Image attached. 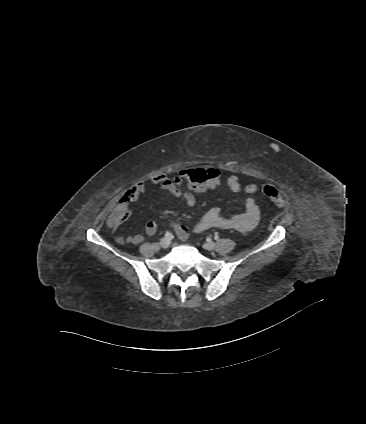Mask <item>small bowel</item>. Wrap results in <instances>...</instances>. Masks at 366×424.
Returning a JSON list of instances; mask_svg holds the SVG:
<instances>
[{
	"label": "small bowel",
	"instance_id": "small-bowel-1",
	"mask_svg": "<svg viewBox=\"0 0 366 424\" xmlns=\"http://www.w3.org/2000/svg\"><path fill=\"white\" fill-rule=\"evenodd\" d=\"M213 170H215L218 174L210 184H208L203 189H193L191 187L190 189L195 192H201L220 184L222 172L218 169ZM183 181L184 180L181 178L173 180L168 176L162 174L155 176L151 180L150 184L151 186H160L163 190H165L168 198L178 199L187 206H193L196 203V197L192 191H182L180 189V186ZM226 184L228 188L234 193H238L242 190V186L237 176H229L226 179ZM246 186L244 187V191L248 194V196L245 199V209L240 214L225 217L221 214V210L219 207H212L204 215H202L190 228L174 221H167V224L175 230L179 239L183 241L188 238L189 230L194 232H202L211 228H219L225 230H234L243 235L252 232L253 230H255L259 223L260 209L256 204L254 198L251 196L253 193H249L246 191ZM146 190L147 186L145 182L136 183L125 193L120 204H128L130 202L136 201L141 194L146 192ZM118 206L111 212L107 219V225L113 230V237L115 241L120 244L128 243L132 245H137L141 243L144 240V235L142 234H134L124 237L117 232V229L120 227V225L123 224V222L127 219L122 218L120 216L118 212ZM157 228V222L149 221L145 226L146 235H154L157 231Z\"/></svg>",
	"mask_w": 366,
	"mask_h": 424
}]
</instances>
